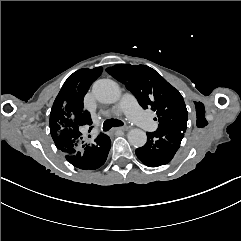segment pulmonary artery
<instances>
[{"label": "pulmonary artery", "mask_w": 241, "mask_h": 241, "mask_svg": "<svg viewBox=\"0 0 241 241\" xmlns=\"http://www.w3.org/2000/svg\"><path fill=\"white\" fill-rule=\"evenodd\" d=\"M119 105L129 119L138 123L149 134H154L158 130V125L149 118L146 109L138 103L133 94H122Z\"/></svg>", "instance_id": "e3ab8cb5"}]
</instances>
